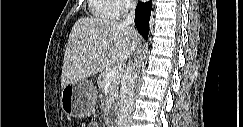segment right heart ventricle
<instances>
[{"instance_id": "right-heart-ventricle-1", "label": "right heart ventricle", "mask_w": 243, "mask_h": 127, "mask_svg": "<svg viewBox=\"0 0 243 127\" xmlns=\"http://www.w3.org/2000/svg\"><path fill=\"white\" fill-rule=\"evenodd\" d=\"M115 0H90L89 9L94 18L111 21L115 18Z\"/></svg>"}]
</instances>
